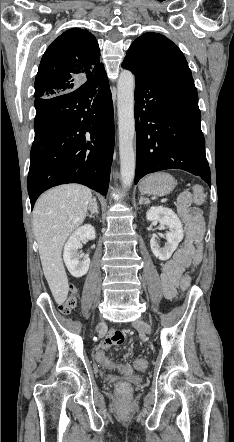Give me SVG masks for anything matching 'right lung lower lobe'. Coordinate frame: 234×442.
<instances>
[{"instance_id": "right-lung-lower-lobe-1", "label": "right lung lower lobe", "mask_w": 234, "mask_h": 442, "mask_svg": "<svg viewBox=\"0 0 234 442\" xmlns=\"http://www.w3.org/2000/svg\"><path fill=\"white\" fill-rule=\"evenodd\" d=\"M35 138L28 193L31 209L45 190L80 183L107 194L114 149L113 103L105 73L76 90L34 101Z\"/></svg>"}]
</instances>
